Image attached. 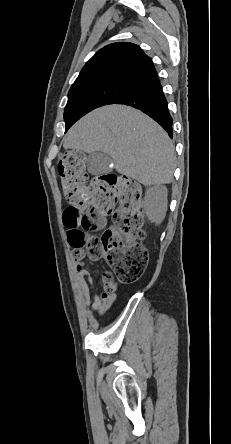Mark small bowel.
Masks as SVG:
<instances>
[{"mask_svg":"<svg viewBox=\"0 0 231 444\" xmlns=\"http://www.w3.org/2000/svg\"><path fill=\"white\" fill-rule=\"evenodd\" d=\"M85 234L77 231L67 230V237L70 245L75 248L74 260L77 272V281L81 290L83 303L90 306L98 314H105L116 301L115 294H107L105 292L98 294L94 289L93 279L90 272L84 267V253L82 239Z\"/></svg>","mask_w":231,"mask_h":444,"instance_id":"c3829d8e","label":"small bowel"}]
</instances>
